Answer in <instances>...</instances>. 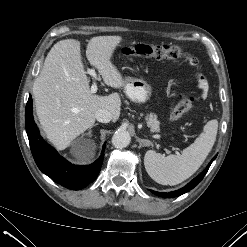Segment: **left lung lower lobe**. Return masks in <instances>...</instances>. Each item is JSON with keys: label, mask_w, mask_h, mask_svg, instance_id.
<instances>
[{"label": "left lung lower lobe", "mask_w": 247, "mask_h": 247, "mask_svg": "<svg viewBox=\"0 0 247 247\" xmlns=\"http://www.w3.org/2000/svg\"><path fill=\"white\" fill-rule=\"evenodd\" d=\"M215 158H216V156L211 160V162L208 164V166L206 167V169L203 172H201L196 178H194L189 184H187L183 188L176 190V191H173V192H169V193L157 192V191H153V190H151V192L154 193L155 195L163 197V198H173V197L180 196V195L190 191L195 186H197L199 184V182L204 178V176L207 173L211 163L215 160Z\"/></svg>", "instance_id": "1"}]
</instances>
